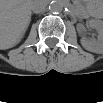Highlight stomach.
<instances>
[{"instance_id": "obj_1", "label": "stomach", "mask_w": 103, "mask_h": 103, "mask_svg": "<svg viewBox=\"0 0 103 103\" xmlns=\"http://www.w3.org/2000/svg\"><path fill=\"white\" fill-rule=\"evenodd\" d=\"M86 3H87L88 6L91 5V2L86 1Z\"/></svg>"}]
</instances>
